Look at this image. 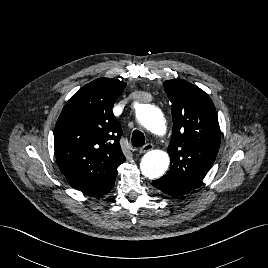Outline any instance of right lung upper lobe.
<instances>
[{"label": "right lung upper lobe", "mask_w": 268, "mask_h": 268, "mask_svg": "<svg viewBox=\"0 0 268 268\" xmlns=\"http://www.w3.org/2000/svg\"><path fill=\"white\" fill-rule=\"evenodd\" d=\"M125 86L108 78L86 84L68 100L55 126L58 166L73 188L90 196L109 192L125 161L121 126L112 112Z\"/></svg>", "instance_id": "right-lung-upper-lobe-1"}]
</instances>
